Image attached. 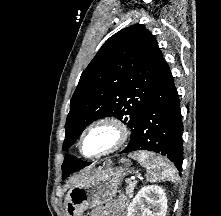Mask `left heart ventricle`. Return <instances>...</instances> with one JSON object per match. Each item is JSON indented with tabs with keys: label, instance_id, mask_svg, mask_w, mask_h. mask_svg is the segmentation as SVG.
<instances>
[{
	"label": "left heart ventricle",
	"instance_id": "b2bd125f",
	"mask_svg": "<svg viewBox=\"0 0 221 216\" xmlns=\"http://www.w3.org/2000/svg\"><path fill=\"white\" fill-rule=\"evenodd\" d=\"M114 140V133L110 128L98 127L88 133L83 142V152L93 155L105 150Z\"/></svg>",
	"mask_w": 221,
	"mask_h": 216
}]
</instances>
